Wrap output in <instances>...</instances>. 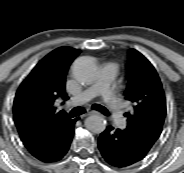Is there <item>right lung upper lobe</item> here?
Masks as SVG:
<instances>
[{
	"mask_svg": "<svg viewBox=\"0 0 184 173\" xmlns=\"http://www.w3.org/2000/svg\"><path fill=\"white\" fill-rule=\"evenodd\" d=\"M77 56L72 48H58L45 56L19 87L13 117L20 135L55 125L69 119L55 105L64 103L65 73Z\"/></svg>",
	"mask_w": 184,
	"mask_h": 173,
	"instance_id": "right-lung-upper-lobe-1",
	"label": "right lung upper lobe"
}]
</instances>
